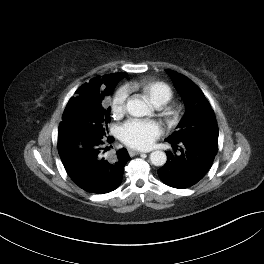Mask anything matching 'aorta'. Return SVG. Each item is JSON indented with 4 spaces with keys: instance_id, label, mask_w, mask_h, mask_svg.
<instances>
[{
    "instance_id": "762f6f07",
    "label": "aorta",
    "mask_w": 264,
    "mask_h": 264,
    "mask_svg": "<svg viewBox=\"0 0 264 264\" xmlns=\"http://www.w3.org/2000/svg\"><path fill=\"white\" fill-rule=\"evenodd\" d=\"M127 111L134 117H143L150 113L147 104L137 98L129 99L126 104ZM150 161L155 166H163L167 161L165 152L156 150L150 154Z\"/></svg>"
}]
</instances>
